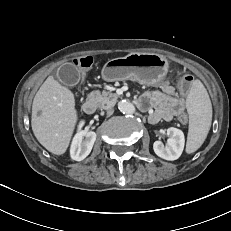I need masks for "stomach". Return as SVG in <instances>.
Here are the masks:
<instances>
[{
    "instance_id": "1",
    "label": "stomach",
    "mask_w": 231,
    "mask_h": 231,
    "mask_svg": "<svg viewBox=\"0 0 231 231\" xmlns=\"http://www.w3.org/2000/svg\"><path fill=\"white\" fill-rule=\"evenodd\" d=\"M168 71V61L155 53H131L125 57L109 60L102 68L105 81L134 80L153 85L160 82Z\"/></svg>"
}]
</instances>
